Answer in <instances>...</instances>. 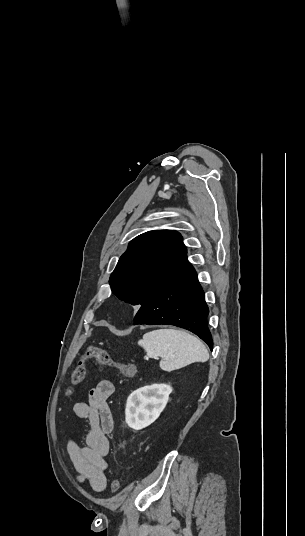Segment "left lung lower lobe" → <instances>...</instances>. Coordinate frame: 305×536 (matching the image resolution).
<instances>
[{"mask_svg": "<svg viewBox=\"0 0 305 536\" xmlns=\"http://www.w3.org/2000/svg\"><path fill=\"white\" fill-rule=\"evenodd\" d=\"M208 313L204 292L191 265L140 307L134 324L182 327L199 336L212 350V336L207 326Z\"/></svg>", "mask_w": 305, "mask_h": 536, "instance_id": "left-lung-lower-lobe-1", "label": "left lung lower lobe"}]
</instances>
